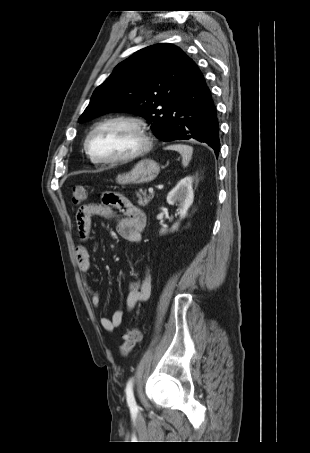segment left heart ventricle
Wrapping results in <instances>:
<instances>
[{"label": "left heart ventricle", "mask_w": 310, "mask_h": 453, "mask_svg": "<svg viewBox=\"0 0 310 453\" xmlns=\"http://www.w3.org/2000/svg\"><path fill=\"white\" fill-rule=\"evenodd\" d=\"M141 145L139 134L133 126L117 122L100 128L91 138L93 153L103 158L128 155Z\"/></svg>", "instance_id": "1"}]
</instances>
